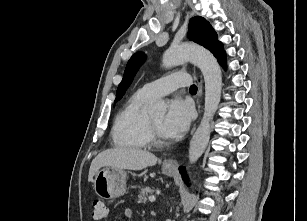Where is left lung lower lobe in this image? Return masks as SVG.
<instances>
[{"label":"left lung lower lobe","instance_id":"obj_1","mask_svg":"<svg viewBox=\"0 0 307 221\" xmlns=\"http://www.w3.org/2000/svg\"><path fill=\"white\" fill-rule=\"evenodd\" d=\"M218 62L223 66V68L225 69L226 67V56L222 57L220 60H218ZM180 173L182 175V178L184 181H187V175H186V171L183 167L179 168Z\"/></svg>","mask_w":307,"mask_h":221}]
</instances>
